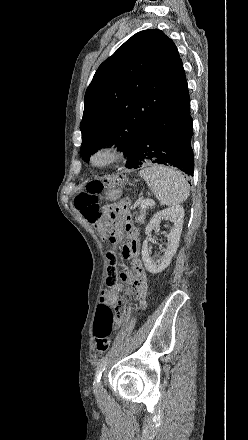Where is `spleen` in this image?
<instances>
[{"label": "spleen", "instance_id": "obj_1", "mask_svg": "<svg viewBox=\"0 0 248 440\" xmlns=\"http://www.w3.org/2000/svg\"><path fill=\"white\" fill-rule=\"evenodd\" d=\"M162 205L174 206L186 201L189 186L179 171L171 167L151 165L139 171Z\"/></svg>", "mask_w": 248, "mask_h": 440}]
</instances>
